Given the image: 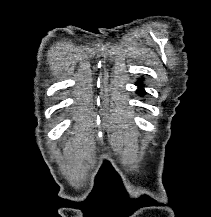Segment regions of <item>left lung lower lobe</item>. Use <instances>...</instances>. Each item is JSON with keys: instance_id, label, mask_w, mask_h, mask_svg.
Listing matches in <instances>:
<instances>
[{"instance_id": "0a47b994", "label": "left lung lower lobe", "mask_w": 211, "mask_h": 217, "mask_svg": "<svg viewBox=\"0 0 211 217\" xmlns=\"http://www.w3.org/2000/svg\"><path fill=\"white\" fill-rule=\"evenodd\" d=\"M137 85L140 86V88L137 90L138 94L139 95H142L145 93L144 89L142 88V85H141V80L137 83Z\"/></svg>"}]
</instances>
